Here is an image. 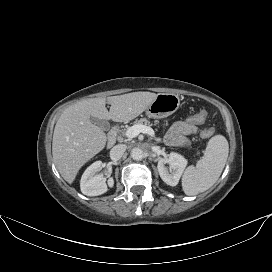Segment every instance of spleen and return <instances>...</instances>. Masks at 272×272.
Segmentation results:
<instances>
[{
	"label": "spleen",
	"instance_id": "3e777b00",
	"mask_svg": "<svg viewBox=\"0 0 272 272\" xmlns=\"http://www.w3.org/2000/svg\"><path fill=\"white\" fill-rule=\"evenodd\" d=\"M229 153V144L223 135L213 136L196 166H189L182 177V189L188 196L209 189L220 177Z\"/></svg>",
	"mask_w": 272,
	"mask_h": 272
}]
</instances>
